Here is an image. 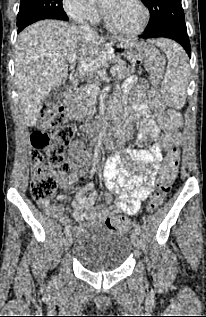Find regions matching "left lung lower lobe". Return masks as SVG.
<instances>
[{
    "label": "left lung lower lobe",
    "mask_w": 206,
    "mask_h": 317,
    "mask_svg": "<svg viewBox=\"0 0 206 317\" xmlns=\"http://www.w3.org/2000/svg\"><path fill=\"white\" fill-rule=\"evenodd\" d=\"M169 38L178 42L187 52L188 56L191 57L189 37L187 35V29L179 27H164L157 29L153 32H145L140 35L139 38Z\"/></svg>",
    "instance_id": "left-lung-lower-lobe-1"
}]
</instances>
